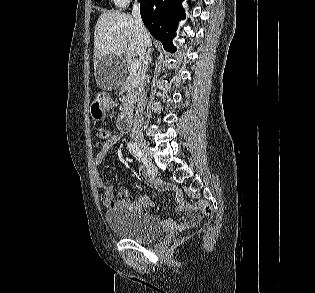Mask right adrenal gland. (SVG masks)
I'll use <instances>...</instances> for the list:
<instances>
[{
    "instance_id": "1",
    "label": "right adrenal gland",
    "mask_w": 315,
    "mask_h": 293,
    "mask_svg": "<svg viewBox=\"0 0 315 293\" xmlns=\"http://www.w3.org/2000/svg\"><path fill=\"white\" fill-rule=\"evenodd\" d=\"M152 61V51H148L145 58L146 68L148 69L149 63Z\"/></svg>"
}]
</instances>
